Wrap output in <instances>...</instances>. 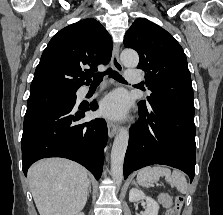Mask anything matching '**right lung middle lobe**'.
<instances>
[{"mask_svg":"<svg viewBox=\"0 0 223 215\" xmlns=\"http://www.w3.org/2000/svg\"><path fill=\"white\" fill-rule=\"evenodd\" d=\"M76 103V92L46 91L32 93L27 101V111L34 112L50 107Z\"/></svg>","mask_w":223,"mask_h":215,"instance_id":"dd1d6c3e","label":"right lung middle lobe"}]
</instances>
